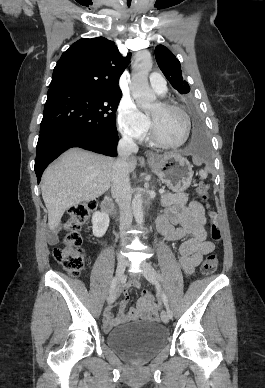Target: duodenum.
Listing matches in <instances>:
<instances>
[{
	"label": "duodenum",
	"instance_id": "1",
	"mask_svg": "<svg viewBox=\"0 0 265 388\" xmlns=\"http://www.w3.org/2000/svg\"><path fill=\"white\" fill-rule=\"evenodd\" d=\"M102 209L103 211L110 216L111 218L114 217V203L113 200L110 197H106L103 202H102ZM157 225L160 228L161 227V222L157 220Z\"/></svg>",
	"mask_w": 265,
	"mask_h": 388
}]
</instances>
